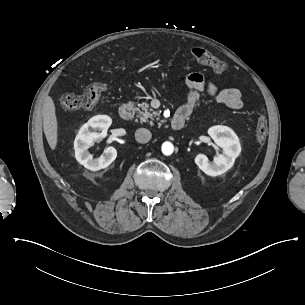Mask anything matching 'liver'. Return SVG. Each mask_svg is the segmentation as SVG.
<instances>
[{
	"instance_id": "obj_1",
	"label": "liver",
	"mask_w": 305,
	"mask_h": 305,
	"mask_svg": "<svg viewBox=\"0 0 305 305\" xmlns=\"http://www.w3.org/2000/svg\"><path fill=\"white\" fill-rule=\"evenodd\" d=\"M43 130L51 149H55L57 144V119L55 106L51 97L47 96L43 105Z\"/></svg>"
}]
</instances>
